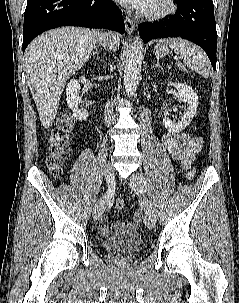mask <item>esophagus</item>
Listing matches in <instances>:
<instances>
[{"instance_id": "esophagus-1", "label": "esophagus", "mask_w": 239, "mask_h": 303, "mask_svg": "<svg viewBox=\"0 0 239 303\" xmlns=\"http://www.w3.org/2000/svg\"><path fill=\"white\" fill-rule=\"evenodd\" d=\"M124 22H125V28H126L127 34L131 35L135 29V25H134L132 19H130L128 16H126L124 18Z\"/></svg>"}]
</instances>
